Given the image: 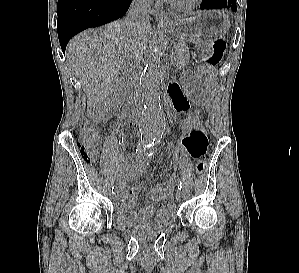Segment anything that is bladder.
Here are the masks:
<instances>
[{
  "label": "bladder",
  "mask_w": 299,
  "mask_h": 273,
  "mask_svg": "<svg viewBox=\"0 0 299 273\" xmlns=\"http://www.w3.org/2000/svg\"><path fill=\"white\" fill-rule=\"evenodd\" d=\"M114 216L117 224L140 234L162 230L168 227L174 220L173 212L165 215L157 214L151 218H138L115 209Z\"/></svg>",
  "instance_id": "1"
}]
</instances>
